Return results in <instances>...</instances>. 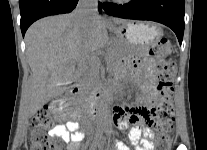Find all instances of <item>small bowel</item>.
<instances>
[{
	"label": "small bowel",
	"instance_id": "1",
	"mask_svg": "<svg viewBox=\"0 0 207 150\" xmlns=\"http://www.w3.org/2000/svg\"><path fill=\"white\" fill-rule=\"evenodd\" d=\"M127 64H133L132 61ZM136 67V65H135ZM156 63L152 59H143L137 68L132 70V77L139 83L142 106L129 107L115 105L113 120L119 129L129 128V140L135 150H153L152 134L148 129H143L150 112V107L157 100L158 95L154 87V73ZM50 135L61 139L67 145V150H79L84 133L76 122L70 121L65 125H56ZM104 150H131V145H125V140H105Z\"/></svg>",
	"mask_w": 207,
	"mask_h": 150
}]
</instances>
